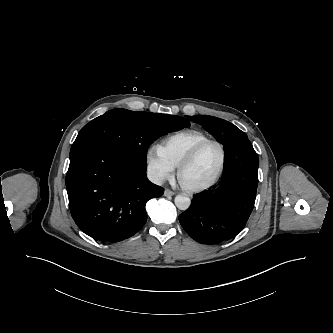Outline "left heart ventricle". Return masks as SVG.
<instances>
[{
	"label": "left heart ventricle",
	"mask_w": 333,
	"mask_h": 333,
	"mask_svg": "<svg viewBox=\"0 0 333 333\" xmlns=\"http://www.w3.org/2000/svg\"><path fill=\"white\" fill-rule=\"evenodd\" d=\"M220 158L219 148L213 144L207 145L183 171L182 181L191 186L207 182L215 174L220 163Z\"/></svg>",
	"instance_id": "1"
}]
</instances>
